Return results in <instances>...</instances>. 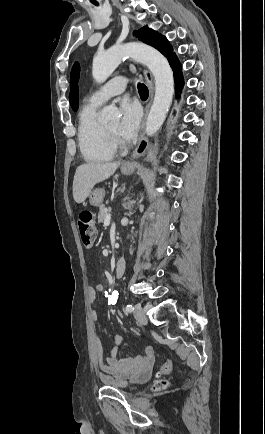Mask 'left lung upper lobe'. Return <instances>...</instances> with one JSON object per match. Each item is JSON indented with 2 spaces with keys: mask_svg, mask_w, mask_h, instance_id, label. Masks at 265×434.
Listing matches in <instances>:
<instances>
[{
  "mask_svg": "<svg viewBox=\"0 0 265 434\" xmlns=\"http://www.w3.org/2000/svg\"><path fill=\"white\" fill-rule=\"evenodd\" d=\"M134 35L144 43L159 50L168 58L169 62L174 56H176L175 53H173V48L169 44L168 40L158 32L149 29L147 26L141 28L139 31H135Z\"/></svg>",
  "mask_w": 265,
  "mask_h": 434,
  "instance_id": "obj_1",
  "label": "left lung upper lobe"
}]
</instances>
